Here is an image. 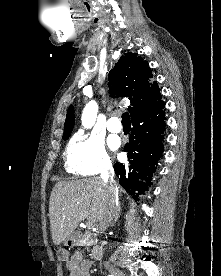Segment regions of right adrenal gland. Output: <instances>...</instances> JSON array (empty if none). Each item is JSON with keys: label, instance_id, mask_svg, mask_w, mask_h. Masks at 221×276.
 Returning a JSON list of instances; mask_svg holds the SVG:
<instances>
[{"label": "right adrenal gland", "instance_id": "right-adrenal-gland-1", "mask_svg": "<svg viewBox=\"0 0 221 276\" xmlns=\"http://www.w3.org/2000/svg\"><path fill=\"white\" fill-rule=\"evenodd\" d=\"M120 214H121V208L119 207L118 214H117L116 218L114 219V221L111 223V227L115 226V223L118 221Z\"/></svg>", "mask_w": 221, "mask_h": 276}]
</instances>
